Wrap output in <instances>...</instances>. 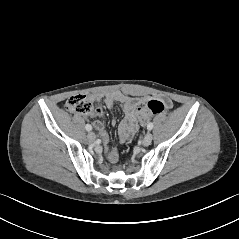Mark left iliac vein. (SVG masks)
Wrapping results in <instances>:
<instances>
[{
  "label": "left iliac vein",
  "instance_id": "1",
  "mask_svg": "<svg viewBox=\"0 0 239 239\" xmlns=\"http://www.w3.org/2000/svg\"><path fill=\"white\" fill-rule=\"evenodd\" d=\"M152 139H153V135L148 132V133L145 135L144 139L142 140V144H143L144 146H148V145L151 144Z\"/></svg>",
  "mask_w": 239,
  "mask_h": 239
}]
</instances>
